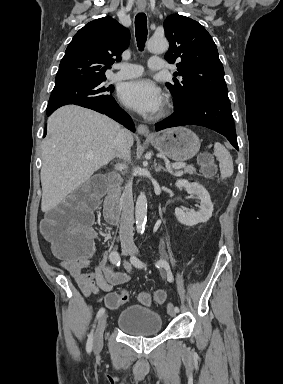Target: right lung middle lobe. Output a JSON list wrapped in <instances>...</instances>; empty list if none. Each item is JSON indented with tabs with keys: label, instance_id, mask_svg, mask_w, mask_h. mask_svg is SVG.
<instances>
[{
	"label": "right lung middle lobe",
	"instance_id": "right-lung-middle-lobe-1",
	"mask_svg": "<svg viewBox=\"0 0 283 384\" xmlns=\"http://www.w3.org/2000/svg\"><path fill=\"white\" fill-rule=\"evenodd\" d=\"M105 80L71 84L53 89L48 107L59 108L67 104L109 100L113 97V86H106Z\"/></svg>",
	"mask_w": 283,
	"mask_h": 384
}]
</instances>
